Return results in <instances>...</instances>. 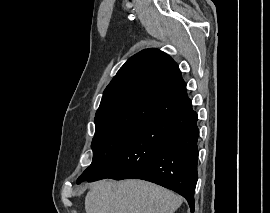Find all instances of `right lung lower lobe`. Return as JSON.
<instances>
[{
    "label": "right lung lower lobe",
    "mask_w": 270,
    "mask_h": 213,
    "mask_svg": "<svg viewBox=\"0 0 270 213\" xmlns=\"http://www.w3.org/2000/svg\"><path fill=\"white\" fill-rule=\"evenodd\" d=\"M197 120L184 88L158 103L113 158L88 181L104 178L150 181L182 195L194 213Z\"/></svg>",
    "instance_id": "obj_1"
}]
</instances>
